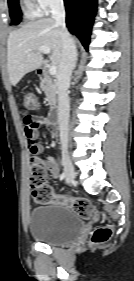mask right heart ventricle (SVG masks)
Returning a JSON list of instances; mask_svg holds the SVG:
<instances>
[{
  "mask_svg": "<svg viewBox=\"0 0 134 281\" xmlns=\"http://www.w3.org/2000/svg\"><path fill=\"white\" fill-rule=\"evenodd\" d=\"M22 8L26 18L32 19L40 14L33 0H22Z\"/></svg>",
  "mask_w": 134,
  "mask_h": 281,
  "instance_id": "1",
  "label": "right heart ventricle"
}]
</instances>
